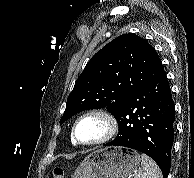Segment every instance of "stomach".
Instances as JSON below:
<instances>
[{
	"instance_id": "stomach-1",
	"label": "stomach",
	"mask_w": 194,
	"mask_h": 178,
	"mask_svg": "<svg viewBox=\"0 0 194 178\" xmlns=\"http://www.w3.org/2000/svg\"><path fill=\"white\" fill-rule=\"evenodd\" d=\"M140 165L139 154L126 147H108L89 154L73 178H129Z\"/></svg>"
}]
</instances>
